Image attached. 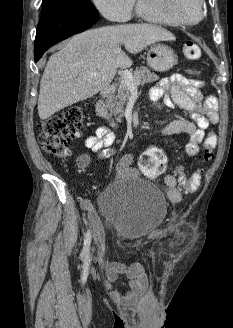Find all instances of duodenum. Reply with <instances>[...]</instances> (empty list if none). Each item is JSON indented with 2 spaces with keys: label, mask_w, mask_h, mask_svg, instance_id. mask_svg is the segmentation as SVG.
Returning a JSON list of instances; mask_svg holds the SVG:
<instances>
[{
  "label": "duodenum",
  "mask_w": 233,
  "mask_h": 328,
  "mask_svg": "<svg viewBox=\"0 0 233 328\" xmlns=\"http://www.w3.org/2000/svg\"><path fill=\"white\" fill-rule=\"evenodd\" d=\"M115 91L114 85H109L103 88L100 92L99 99L96 103L95 111L98 117L100 118H107L108 112L106 109V102L107 100L113 95Z\"/></svg>",
  "instance_id": "obj_1"
}]
</instances>
